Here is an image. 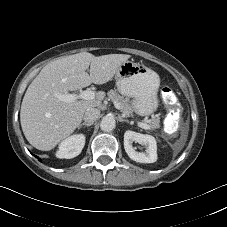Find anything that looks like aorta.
<instances>
[{
    "instance_id": "aorta-1",
    "label": "aorta",
    "mask_w": 227,
    "mask_h": 227,
    "mask_svg": "<svg viewBox=\"0 0 227 227\" xmlns=\"http://www.w3.org/2000/svg\"><path fill=\"white\" fill-rule=\"evenodd\" d=\"M116 122L114 117L112 116H104L100 122V128L101 130L105 132H110L113 129H115Z\"/></svg>"
}]
</instances>
